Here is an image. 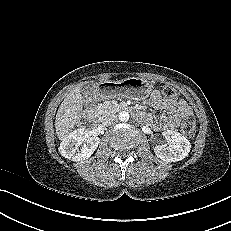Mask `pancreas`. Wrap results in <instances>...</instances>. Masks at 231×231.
Instances as JSON below:
<instances>
[{"mask_svg": "<svg viewBox=\"0 0 231 231\" xmlns=\"http://www.w3.org/2000/svg\"><path fill=\"white\" fill-rule=\"evenodd\" d=\"M120 105L114 101H106L97 107L100 115L114 113L120 110Z\"/></svg>", "mask_w": 231, "mask_h": 231, "instance_id": "obj_1", "label": "pancreas"}]
</instances>
